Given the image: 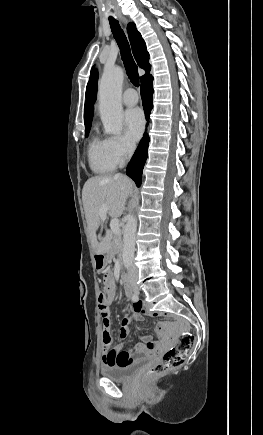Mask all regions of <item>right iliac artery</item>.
I'll return each instance as SVG.
<instances>
[{"label":"right iliac artery","mask_w":263,"mask_h":435,"mask_svg":"<svg viewBox=\"0 0 263 435\" xmlns=\"http://www.w3.org/2000/svg\"><path fill=\"white\" fill-rule=\"evenodd\" d=\"M132 301L137 302L138 301V296L136 294L131 293L130 295Z\"/></svg>","instance_id":"right-iliac-artery-1"}]
</instances>
